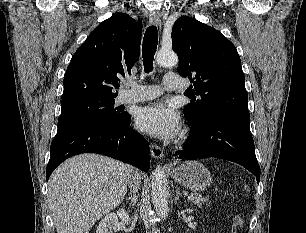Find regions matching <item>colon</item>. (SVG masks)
I'll use <instances>...</instances> for the list:
<instances>
[{"instance_id":"1","label":"colon","mask_w":306,"mask_h":233,"mask_svg":"<svg viewBox=\"0 0 306 233\" xmlns=\"http://www.w3.org/2000/svg\"><path fill=\"white\" fill-rule=\"evenodd\" d=\"M244 224V220L241 216H237L234 221L233 233H240Z\"/></svg>"}]
</instances>
